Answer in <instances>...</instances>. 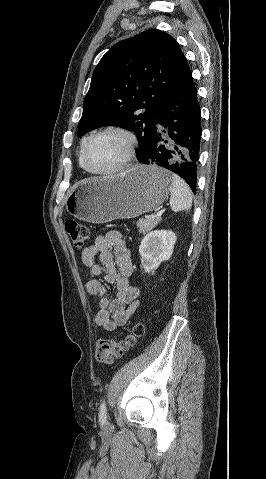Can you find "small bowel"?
Masks as SVG:
<instances>
[{
  "label": "small bowel",
  "instance_id": "c3829d8e",
  "mask_svg": "<svg viewBox=\"0 0 266 479\" xmlns=\"http://www.w3.org/2000/svg\"><path fill=\"white\" fill-rule=\"evenodd\" d=\"M81 259L91 275L85 289L98 298L95 323L108 331L124 326L138 306L139 289L129 283L133 265L122 234L109 231L96 236L92 245L83 250ZM101 276L114 286L112 298L99 280Z\"/></svg>",
  "mask_w": 266,
  "mask_h": 479
}]
</instances>
